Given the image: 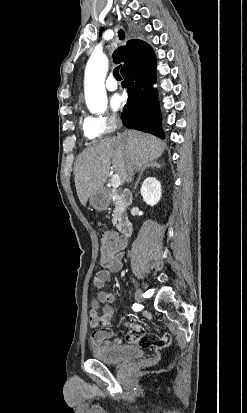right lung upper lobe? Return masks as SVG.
I'll return each instance as SVG.
<instances>
[{"mask_svg": "<svg viewBox=\"0 0 247 413\" xmlns=\"http://www.w3.org/2000/svg\"><path fill=\"white\" fill-rule=\"evenodd\" d=\"M115 63L124 62L121 68L123 77L145 72L156 65L153 49L141 40H130L125 47L118 48L114 54Z\"/></svg>", "mask_w": 247, "mask_h": 413, "instance_id": "1", "label": "right lung upper lobe"}]
</instances>
